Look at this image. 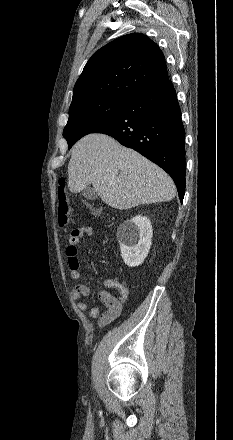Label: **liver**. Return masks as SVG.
Instances as JSON below:
<instances>
[{
	"mask_svg": "<svg viewBox=\"0 0 233 440\" xmlns=\"http://www.w3.org/2000/svg\"><path fill=\"white\" fill-rule=\"evenodd\" d=\"M92 184L107 205L126 210L141 204L172 200L171 177L138 152L105 134L91 133L72 149L68 188L79 193Z\"/></svg>",
	"mask_w": 233,
	"mask_h": 440,
	"instance_id": "obj_1",
	"label": "liver"
}]
</instances>
